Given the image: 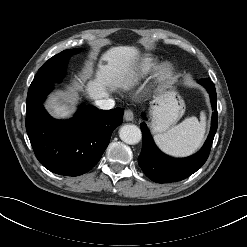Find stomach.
Instances as JSON below:
<instances>
[{
    "label": "stomach",
    "mask_w": 247,
    "mask_h": 247,
    "mask_svg": "<svg viewBox=\"0 0 247 247\" xmlns=\"http://www.w3.org/2000/svg\"><path fill=\"white\" fill-rule=\"evenodd\" d=\"M185 111L184 100L173 81L163 85L151 102L152 130L161 133L174 125Z\"/></svg>",
    "instance_id": "obj_1"
}]
</instances>
